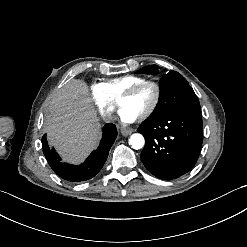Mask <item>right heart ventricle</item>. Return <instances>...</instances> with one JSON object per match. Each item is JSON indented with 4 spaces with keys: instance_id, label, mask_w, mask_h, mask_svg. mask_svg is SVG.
<instances>
[{
    "instance_id": "e07e8e85",
    "label": "right heart ventricle",
    "mask_w": 247,
    "mask_h": 247,
    "mask_svg": "<svg viewBox=\"0 0 247 247\" xmlns=\"http://www.w3.org/2000/svg\"><path fill=\"white\" fill-rule=\"evenodd\" d=\"M143 81L144 79L140 77L124 76L109 81L106 85V89L112 96H121L129 92L131 89H133L135 86Z\"/></svg>"
}]
</instances>
